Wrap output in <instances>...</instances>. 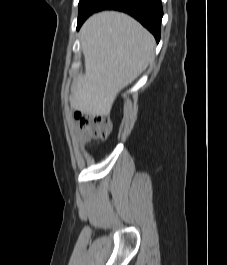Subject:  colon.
Wrapping results in <instances>:
<instances>
[{"instance_id":"5ec220e1","label":"colon","mask_w":227,"mask_h":265,"mask_svg":"<svg viewBox=\"0 0 227 265\" xmlns=\"http://www.w3.org/2000/svg\"><path fill=\"white\" fill-rule=\"evenodd\" d=\"M75 118L86 132V140H105L111 133L112 123L107 115L76 112Z\"/></svg>"}]
</instances>
